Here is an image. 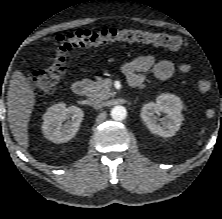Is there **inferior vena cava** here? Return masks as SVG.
<instances>
[{
	"label": "inferior vena cava",
	"mask_w": 222,
	"mask_h": 219,
	"mask_svg": "<svg viewBox=\"0 0 222 219\" xmlns=\"http://www.w3.org/2000/svg\"><path fill=\"white\" fill-rule=\"evenodd\" d=\"M88 103L90 106L94 107L95 109H100L104 105V102L102 100L96 98L89 99Z\"/></svg>",
	"instance_id": "602c4592"
}]
</instances>
